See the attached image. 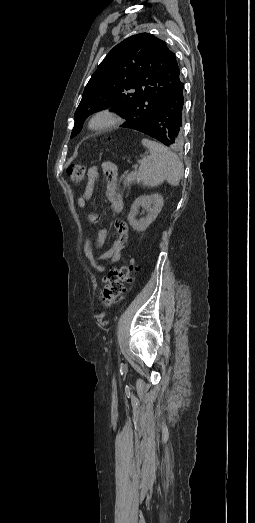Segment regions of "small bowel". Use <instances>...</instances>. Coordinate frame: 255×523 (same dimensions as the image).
<instances>
[{"label": "small bowel", "mask_w": 255, "mask_h": 523, "mask_svg": "<svg viewBox=\"0 0 255 523\" xmlns=\"http://www.w3.org/2000/svg\"><path fill=\"white\" fill-rule=\"evenodd\" d=\"M102 170L105 172L108 178V185L106 190V196L109 200L111 207L114 212L120 213L123 211L124 203L121 195L117 190V171L116 168L110 163H104L101 166ZM99 170L96 167H92L88 171V183L81 194L77 199V205L80 208H85L87 202L92 198L95 182L98 177ZM88 219L93 224H98L100 222V216L95 213H91L88 216ZM114 227L117 233V238L112 242L110 248L102 253L100 256H97L92 248L91 237L86 236L83 245L84 255L89 262L90 266L97 272H104L105 267L101 261H107L110 263L119 262L121 259L122 250L128 239V227L123 220H116ZM106 240V231L104 229L99 230L97 235V245L102 246Z\"/></svg>", "instance_id": "c3829d8e"}]
</instances>
